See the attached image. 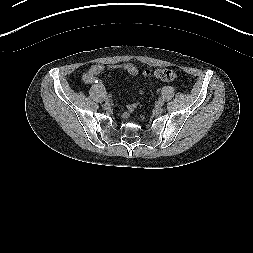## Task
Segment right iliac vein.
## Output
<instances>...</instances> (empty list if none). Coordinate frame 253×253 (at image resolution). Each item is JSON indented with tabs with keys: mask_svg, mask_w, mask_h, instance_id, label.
I'll return each mask as SVG.
<instances>
[{
	"mask_svg": "<svg viewBox=\"0 0 253 253\" xmlns=\"http://www.w3.org/2000/svg\"><path fill=\"white\" fill-rule=\"evenodd\" d=\"M110 102V100L109 99H106V103H109Z\"/></svg>",
	"mask_w": 253,
	"mask_h": 253,
	"instance_id": "obj_1",
	"label": "right iliac vein"
}]
</instances>
